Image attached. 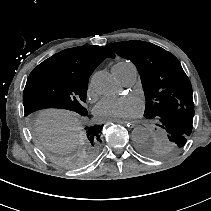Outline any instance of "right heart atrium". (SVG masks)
Returning <instances> with one entry per match:
<instances>
[{"label":"right heart atrium","mask_w":211,"mask_h":211,"mask_svg":"<svg viewBox=\"0 0 211 211\" xmlns=\"http://www.w3.org/2000/svg\"><path fill=\"white\" fill-rule=\"evenodd\" d=\"M92 91H93V86L90 83L89 86H88V88H87V94L90 95L92 93Z\"/></svg>","instance_id":"right-heart-atrium-1"}]
</instances>
